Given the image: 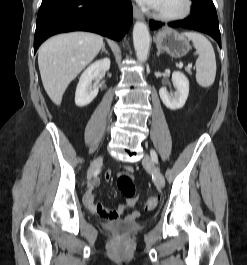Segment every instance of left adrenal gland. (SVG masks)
Returning <instances> with one entry per match:
<instances>
[{
	"label": "left adrenal gland",
	"mask_w": 247,
	"mask_h": 265,
	"mask_svg": "<svg viewBox=\"0 0 247 265\" xmlns=\"http://www.w3.org/2000/svg\"><path fill=\"white\" fill-rule=\"evenodd\" d=\"M161 54V50L158 48L157 57H159Z\"/></svg>",
	"instance_id": "a2214340"
}]
</instances>
